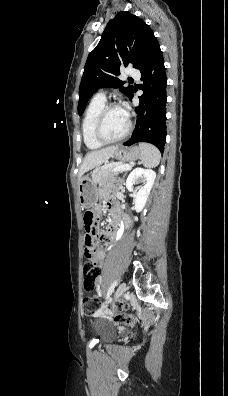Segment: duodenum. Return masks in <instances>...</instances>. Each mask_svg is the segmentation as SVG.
Instances as JSON below:
<instances>
[{
	"mask_svg": "<svg viewBox=\"0 0 228 396\" xmlns=\"http://www.w3.org/2000/svg\"><path fill=\"white\" fill-rule=\"evenodd\" d=\"M122 222H123L124 225H126V224H127L126 218H123V219H122ZM119 223H120V221H118L117 225H118Z\"/></svg>",
	"mask_w": 228,
	"mask_h": 396,
	"instance_id": "duodenum-1",
	"label": "duodenum"
}]
</instances>
